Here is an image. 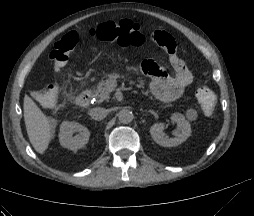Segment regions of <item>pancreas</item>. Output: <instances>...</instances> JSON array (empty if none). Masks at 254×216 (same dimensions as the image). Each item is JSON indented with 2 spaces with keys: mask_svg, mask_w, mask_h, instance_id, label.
<instances>
[{
  "mask_svg": "<svg viewBox=\"0 0 254 216\" xmlns=\"http://www.w3.org/2000/svg\"><path fill=\"white\" fill-rule=\"evenodd\" d=\"M120 77L124 78V75L120 76L119 74H112V75H109L106 80H101L98 83L97 88L94 89V94H93V96L97 99L98 103L109 99L110 91L114 89L115 87L113 83H116L117 79ZM138 87L142 89L144 88L143 84H139ZM143 94L147 96L149 92L143 91Z\"/></svg>",
  "mask_w": 254,
  "mask_h": 216,
  "instance_id": "cf45deb5",
  "label": "pancreas"
}]
</instances>
